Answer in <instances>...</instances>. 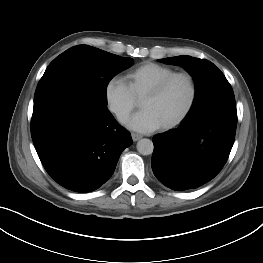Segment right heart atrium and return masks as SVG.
<instances>
[{
  "label": "right heart atrium",
  "instance_id": "obj_1",
  "mask_svg": "<svg viewBox=\"0 0 263 263\" xmlns=\"http://www.w3.org/2000/svg\"><path fill=\"white\" fill-rule=\"evenodd\" d=\"M104 100L109 112L119 121H124L136 107L137 101L125 82L111 77L104 86Z\"/></svg>",
  "mask_w": 263,
  "mask_h": 263
}]
</instances>
